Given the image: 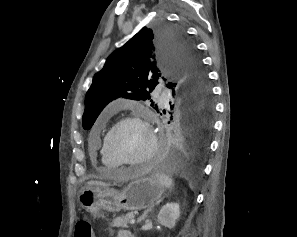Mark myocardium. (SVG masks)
<instances>
[{
	"instance_id": "f54148a6",
	"label": "myocardium",
	"mask_w": 297,
	"mask_h": 237,
	"mask_svg": "<svg viewBox=\"0 0 297 237\" xmlns=\"http://www.w3.org/2000/svg\"><path fill=\"white\" fill-rule=\"evenodd\" d=\"M129 122H134L142 125L150 139V148L149 151L145 156L138 160L130 161V160H125L122 159L116 151L113 149L112 144H111V138L113 133L122 125L129 123ZM105 145L106 149L109 153V155L120 165V166H132V165H142L145 163L150 162L153 160L159 150V140H158V135L151 124L150 117L146 114H131V115H126L118 119L113 126L109 129L105 136Z\"/></svg>"
}]
</instances>
